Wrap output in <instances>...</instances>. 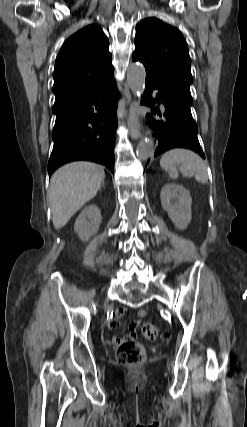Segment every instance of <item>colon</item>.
Here are the masks:
<instances>
[{
	"label": "colon",
	"instance_id": "1",
	"mask_svg": "<svg viewBox=\"0 0 247 427\" xmlns=\"http://www.w3.org/2000/svg\"><path fill=\"white\" fill-rule=\"evenodd\" d=\"M143 336L150 341H156L164 337V334L153 324L145 323L142 326ZM146 353L144 347L134 341L124 342L119 345L116 358L121 364L128 366H137L145 359Z\"/></svg>",
	"mask_w": 247,
	"mask_h": 427
}]
</instances>
